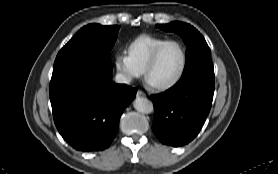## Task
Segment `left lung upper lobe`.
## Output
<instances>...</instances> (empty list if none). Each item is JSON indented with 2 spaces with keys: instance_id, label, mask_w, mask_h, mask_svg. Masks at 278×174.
<instances>
[{
  "instance_id": "left-lung-upper-lobe-1",
  "label": "left lung upper lobe",
  "mask_w": 278,
  "mask_h": 174,
  "mask_svg": "<svg viewBox=\"0 0 278 174\" xmlns=\"http://www.w3.org/2000/svg\"><path fill=\"white\" fill-rule=\"evenodd\" d=\"M157 27L177 33L187 45V61L180 80L189 79L197 75H207L214 78L210 48L203 36L193 26L181 22H172L167 25H157Z\"/></svg>"
}]
</instances>
